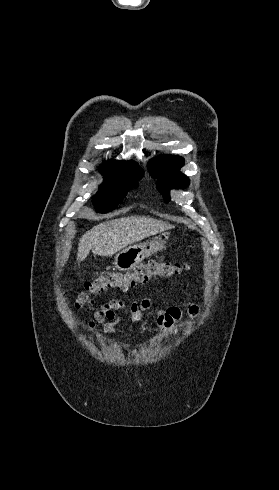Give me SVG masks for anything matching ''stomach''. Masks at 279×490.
Masks as SVG:
<instances>
[{
    "mask_svg": "<svg viewBox=\"0 0 279 490\" xmlns=\"http://www.w3.org/2000/svg\"><path fill=\"white\" fill-rule=\"evenodd\" d=\"M166 242L164 240H153V242H143L137 246H130L126 250H121L114 256V266L120 272H128L136 268L137 264H142L143 260L150 258L152 254L165 250Z\"/></svg>",
    "mask_w": 279,
    "mask_h": 490,
    "instance_id": "stomach-1",
    "label": "stomach"
}]
</instances>
